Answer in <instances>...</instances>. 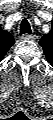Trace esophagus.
Here are the masks:
<instances>
[{
	"instance_id": "obj_1",
	"label": "esophagus",
	"mask_w": 53,
	"mask_h": 120,
	"mask_svg": "<svg viewBox=\"0 0 53 120\" xmlns=\"http://www.w3.org/2000/svg\"><path fill=\"white\" fill-rule=\"evenodd\" d=\"M36 38L35 35H31V34H24L21 36L22 40H34Z\"/></svg>"
}]
</instances>
